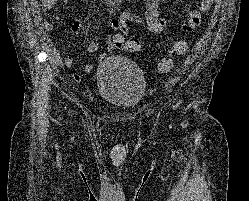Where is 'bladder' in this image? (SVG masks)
<instances>
[{
	"instance_id": "bladder-1",
	"label": "bladder",
	"mask_w": 249,
	"mask_h": 201,
	"mask_svg": "<svg viewBox=\"0 0 249 201\" xmlns=\"http://www.w3.org/2000/svg\"><path fill=\"white\" fill-rule=\"evenodd\" d=\"M97 86L104 102L131 110L142 100L145 78L139 66L127 57H107L97 67Z\"/></svg>"
}]
</instances>
